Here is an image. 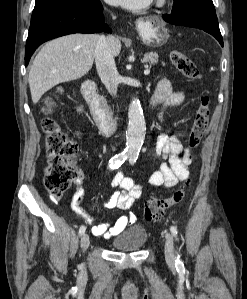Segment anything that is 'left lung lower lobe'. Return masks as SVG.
Here are the masks:
<instances>
[{
  "instance_id": "obj_1",
  "label": "left lung lower lobe",
  "mask_w": 247,
  "mask_h": 299,
  "mask_svg": "<svg viewBox=\"0 0 247 299\" xmlns=\"http://www.w3.org/2000/svg\"><path fill=\"white\" fill-rule=\"evenodd\" d=\"M163 19L170 24L204 30L214 36L221 46H223V39L215 11L196 5H190L178 11L171 12V14H164Z\"/></svg>"
}]
</instances>
